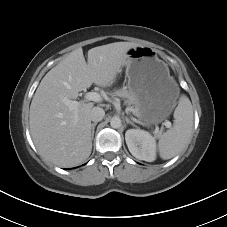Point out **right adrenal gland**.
Masks as SVG:
<instances>
[{
  "mask_svg": "<svg viewBox=\"0 0 227 227\" xmlns=\"http://www.w3.org/2000/svg\"><path fill=\"white\" fill-rule=\"evenodd\" d=\"M97 124H98L97 122H94V123H92V125H91V129H92L91 137H92V139H93V137H94L95 127H96Z\"/></svg>",
  "mask_w": 227,
  "mask_h": 227,
  "instance_id": "obj_1",
  "label": "right adrenal gland"
}]
</instances>
